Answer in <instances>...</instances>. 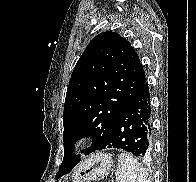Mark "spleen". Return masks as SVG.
Here are the masks:
<instances>
[{
  "label": "spleen",
  "mask_w": 196,
  "mask_h": 182,
  "mask_svg": "<svg viewBox=\"0 0 196 182\" xmlns=\"http://www.w3.org/2000/svg\"><path fill=\"white\" fill-rule=\"evenodd\" d=\"M115 176L116 182H151L143 166L128 153L118 156Z\"/></svg>",
  "instance_id": "obj_1"
}]
</instances>
